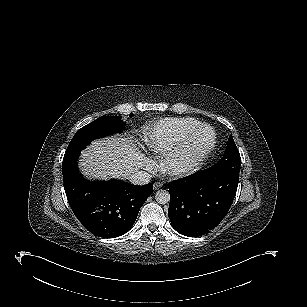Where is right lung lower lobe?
<instances>
[{
    "mask_svg": "<svg viewBox=\"0 0 307 307\" xmlns=\"http://www.w3.org/2000/svg\"><path fill=\"white\" fill-rule=\"evenodd\" d=\"M80 151L65 153L63 181L68 203L83 226L96 236L115 238L128 232L152 184L132 185L121 180L89 181L77 169Z\"/></svg>",
    "mask_w": 307,
    "mask_h": 307,
    "instance_id": "98d812e1",
    "label": "right lung lower lobe"
}]
</instances>
